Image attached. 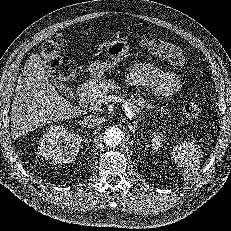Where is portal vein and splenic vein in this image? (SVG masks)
Instances as JSON below:
<instances>
[{
  "label": "portal vein and splenic vein",
  "instance_id": "portal-vein-and-splenic-vein-1",
  "mask_svg": "<svg viewBox=\"0 0 231 231\" xmlns=\"http://www.w3.org/2000/svg\"><path fill=\"white\" fill-rule=\"evenodd\" d=\"M108 99H109V101H114V102L122 104V106H123V108H124V110L126 112V116L129 119L133 118V116L135 115L136 110L134 111V110L131 109L132 104H131L130 101H126L124 98H122L120 96H117V95H109Z\"/></svg>",
  "mask_w": 231,
  "mask_h": 231
}]
</instances>
